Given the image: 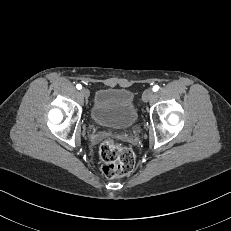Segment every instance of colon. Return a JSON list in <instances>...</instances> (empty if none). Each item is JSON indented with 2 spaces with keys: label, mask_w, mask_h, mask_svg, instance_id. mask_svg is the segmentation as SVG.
Masks as SVG:
<instances>
[{
  "label": "colon",
  "mask_w": 231,
  "mask_h": 231,
  "mask_svg": "<svg viewBox=\"0 0 231 231\" xmlns=\"http://www.w3.org/2000/svg\"><path fill=\"white\" fill-rule=\"evenodd\" d=\"M103 161L102 172L107 178H116L132 172L135 165L133 152L113 140L104 141L99 149Z\"/></svg>",
  "instance_id": "1"
}]
</instances>
